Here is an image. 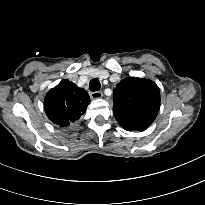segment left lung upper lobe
<instances>
[{"mask_svg":"<svg viewBox=\"0 0 205 205\" xmlns=\"http://www.w3.org/2000/svg\"><path fill=\"white\" fill-rule=\"evenodd\" d=\"M113 114L122 128L144 131L156 118L160 108V91L151 80L127 77L114 88Z\"/></svg>","mask_w":205,"mask_h":205,"instance_id":"left-lung-upper-lobe-1","label":"left lung upper lobe"}]
</instances>
